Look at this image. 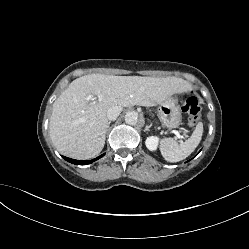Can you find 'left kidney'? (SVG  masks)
<instances>
[{"label":"left kidney","mask_w":249,"mask_h":249,"mask_svg":"<svg viewBox=\"0 0 249 249\" xmlns=\"http://www.w3.org/2000/svg\"><path fill=\"white\" fill-rule=\"evenodd\" d=\"M158 143H159V138H157L155 136H149V137H147V139L145 141L146 147L150 151H156Z\"/></svg>","instance_id":"1"}]
</instances>
